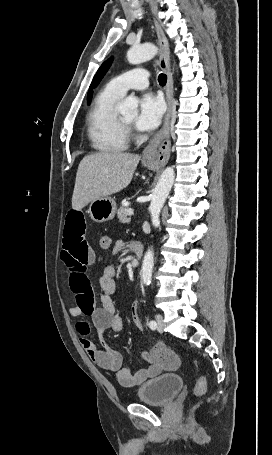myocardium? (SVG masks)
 Masks as SVG:
<instances>
[{"mask_svg":"<svg viewBox=\"0 0 272 455\" xmlns=\"http://www.w3.org/2000/svg\"><path fill=\"white\" fill-rule=\"evenodd\" d=\"M119 123L122 126L123 130L127 134V136L130 135L132 126L130 123H127L121 116L118 115Z\"/></svg>","mask_w":272,"mask_h":455,"instance_id":"myocardium-1","label":"myocardium"}]
</instances>
